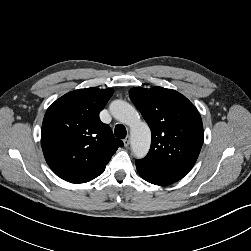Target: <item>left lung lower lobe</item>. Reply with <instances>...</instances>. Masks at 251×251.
<instances>
[{
  "label": "left lung lower lobe",
  "mask_w": 251,
  "mask_h": 251,
  "mask_svg": "<svg viewBox=\"0 0 251 251\" xmlns=\"http://www.w3.org/2000/svg\"><path fill=\"white\" fill-rule=\"evenodd\" d=\"M137 171L149 183L169 185L182 179L187 173L175 169L155 168L136 161Z\"/></svg>",
  "instance_id": "0a47b994"
}]
</instances>
